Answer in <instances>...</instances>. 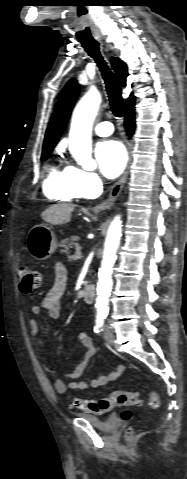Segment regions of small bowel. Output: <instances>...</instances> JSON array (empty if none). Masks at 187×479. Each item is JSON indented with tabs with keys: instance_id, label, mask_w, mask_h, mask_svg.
Here are the masks:
<instances>
[{
	"instance_id": "1",
	"label": "small bowel",
	"mask_w": 187,
	"mask_h": 479,
	"mask_svg": "<svg viewBox=\"0 0 187 479\" xmlns=\"http://www.w3.org/2000/svg\"><path fill=\"white\" fill-rule=\"evenodd\" d=\"M67 285V270L62 264H58L55 268V279L52 287L45 295L40 305H33L30 309V319L28 321L31 336L35 345L43 352L47 353L44 341L39 337V322L38 316L42 309L46 310L48 316L52 319L60 317L62 308V298ZM77 338L82 346L86 348V353L83 360L71 372L64 374L63 378L54 376L52 378V385L55 391L59 394H64L67 391L80 392L88 388L97 389L108 382L116 380L124 371V366L120 365L115 371L102 374L89 382L75 381L86 371L91 359L97 352V347L93 339L84 331L77 334ZM47 369L50 370L48 364ZM68 380V382L66 381Z\"/></svg>"
}]
</instances>
